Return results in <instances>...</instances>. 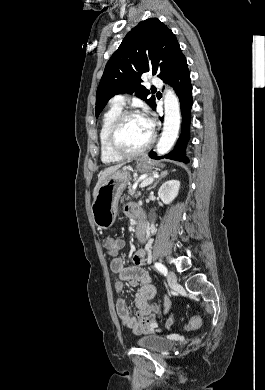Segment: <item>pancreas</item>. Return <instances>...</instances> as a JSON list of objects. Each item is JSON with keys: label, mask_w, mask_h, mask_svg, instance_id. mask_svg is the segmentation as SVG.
<instances>
[{"label": "pancreas", "mask_w": 265, "mask_h": 390, "mask_svg": "<svg viewBox=\"0 0 265 390\" xmlns=\"http://www.w3.org/2000/svg\"><path fill=\"white\" fill-rule=\"evenodd\" d=\"M128 193H129L131 196H133V195H135L136 197L140 196V192L136 191V190H135L134 188H132V187H129Z\"/></svg>", "instance_id": "1"}]
</instances>
